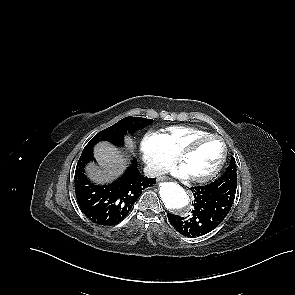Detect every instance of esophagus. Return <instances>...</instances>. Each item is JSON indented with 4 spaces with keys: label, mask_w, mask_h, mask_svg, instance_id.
Here are the masks:
<instances>
[{
    "label": "esophagus",
    "mask_w": 295,
    "mask_h": 295,
    "mask_svg": "<svg viewBox=\"0 0 295 295\" xmlns=\"http://www.w3.org/2000/svg\"><path fill=\"white\" fill-rule=\"evenodd\" d=\"M165 180H167V177H165V176L158 178V181H165Z\"/></svg>",
    "instance_id": "obj_1"
}]
</instances>
